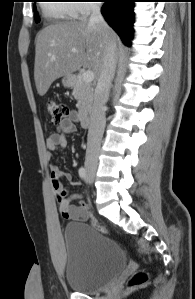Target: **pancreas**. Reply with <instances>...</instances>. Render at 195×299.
I'll list each match as a JSON object with an SVG mask.
<instances>
[{"label": "pancreas", "mask_w": 195, "mask_h": 299, "mask_svg": "<svg viewBox=\"0 0 195 299\" xmlns=\"http://www.w3.org/2000/svg\"><path fill=\"white\" fill-rule=\"evenodd\" d=\"M93 91V85L86 83L82 76L78 75L73 88V96L77 100V108L81 117L86 116L92 108Z\"/></svg>", "instance_id": "pancreas-1"}]
</instances>
